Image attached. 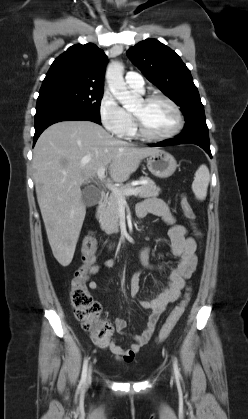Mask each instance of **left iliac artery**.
Listing matches in <instances>:
<instances>
[{"mask_svg": "<svg viewBox=\"0 0 248 419\" xmlns=\"http://www.w3.org/2000/svg\"><path fill=\"white\" fill-rule=\"evenodd\" d=\"M173 367H174V373H175L176 377H180V371H179V368H178V363H177L176 358H174Z\"/></svg>", "mask_w": 248, "mask_h": 419, "instance_id": "obj_1", "label": "left iliac artery"}]
</instances>
